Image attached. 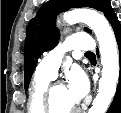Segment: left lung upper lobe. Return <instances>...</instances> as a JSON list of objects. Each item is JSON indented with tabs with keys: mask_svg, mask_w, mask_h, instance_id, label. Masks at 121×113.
Returning <instances> with one entry per match:
<instances>
[{
	"mask_svg": "<svg viewBox=\"0 0 121 113\" xmlns=\"http://www.w3.org/2000/svg\"><path fill=\"white\" fill-rule=\"evenodd\" d=\"M72 7H90L104 13L108 21L116 17L109 0H49L43 4L30 21L25 40L24 74L25 89H28L37 60L44 51L57 45L59 36L55 31L58 13ZM87 32H90L85 28Z\"/></svg>",
	"mask_w": 121,
	"mask_h": 113,
	"instance_id": "1",
	"label": "left lung upper lobe"
}]
</instances>
